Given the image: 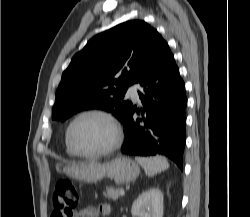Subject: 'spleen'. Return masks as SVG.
<instances>
[{
	"mask_svg": "<svg viewBox=\"0 0 250 217\" xmlns=\"http://www.w3.org/2000/svg\"><path fill=\"white\" fill-rule=\"evenodd\" d=\"M136 161L143 167L148 176H154L169 168V163L162 156L136 157Z\"/></svg>",
	"mask_w": 250,
	"mask_h": 217,
	"instance_id": "obj_1",
	"label": "spleen"
}]
</instances>
